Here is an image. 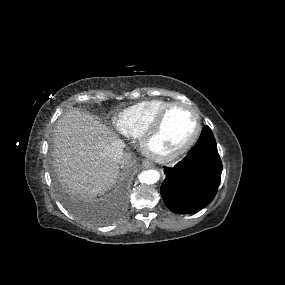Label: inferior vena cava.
Here are the masks:
<instances>
[{
    "label": "inferior vena cava",
    "mask_w": 285,
    "mask_h": 285,
    "mask_svg": "<svg viewBox=\"0 0 285 285\" xmlns=\"http://www.w3.org/2000/svg\"><path fill=\"white\" fill-rule=\"evenodd\" d=\"M125 147V144L122 140L116 139L112 143V149H111V154L110 157L112 158L113 161L116 162H123L124 156H123V148Z\"/></svg>",
    "instance_id": "inferior-vena-cava-1"
}]
</instances>
